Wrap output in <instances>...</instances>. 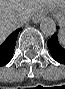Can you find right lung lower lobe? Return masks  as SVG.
Instances as JSON below:
<instances>
[{"label": "right lung lower lobe", "instance_id": "obj_1", "mask_svg": "<svg viewBox=\"0 0 65 89\" xmlns=\"http://www.w3.org/2000/svg\"><path fill=\"white\" fill-rule=\"evenodd\" d=\"M18 31L10 35L4 42L0 43V66L6 65L13 56Z\"/></svg>", "mask_w": 65, "mask_h": 89}]
</instances>
